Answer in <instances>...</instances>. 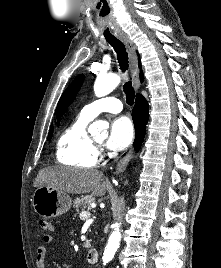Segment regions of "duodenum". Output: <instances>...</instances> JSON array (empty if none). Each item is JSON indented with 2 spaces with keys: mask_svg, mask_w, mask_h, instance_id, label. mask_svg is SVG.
<instances>
[{
  "mask_svg": "<svg viewBox=\"0 0 221 268\" xmlns=\"http://www.w3.org/2000/svg\"><path fill=\"white\" fill-rule=\"evenodd\" d=\"M99 258V252L95 248H91L88 250L86 254V262L88 265H94L97 263Z\"/></svg>",
  "mask_w": 221,
  "mask_h": 268,
  "instance_id": "duodenum-1",
  "label": "duodenum"
}]
</instances>
